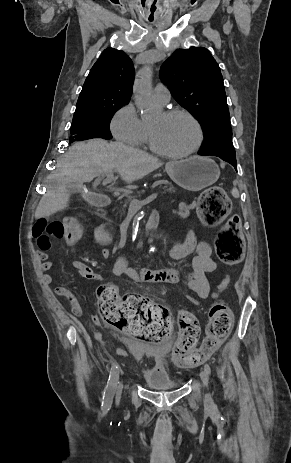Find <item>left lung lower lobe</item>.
<instances>
[{
  "label": "left lung lower lobe",
  "instance_id": "left-lung-lower-lobe-1",
  "mask_svg": "<svg viewBox=\"0 0 291 463\" xmlns=\"http://www.w3.org/2000/svg\"><path fill=\"white\" fill-rule=\"evenodd\" d=\"M199 155H203V156H208L209 154H205V153H202V152H198ZM211 156H217V157H220L222 160L230 163L231 165L234 166V168L237 170V163H236V157H231V156H221V155H211Z\"/></svg>",
  "mask_w": 291,
  "mask_h": 463
}]
</instances>
